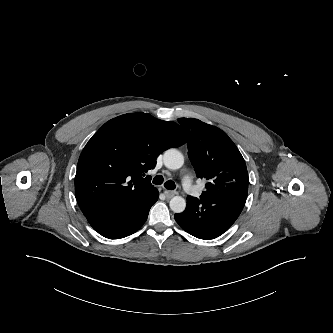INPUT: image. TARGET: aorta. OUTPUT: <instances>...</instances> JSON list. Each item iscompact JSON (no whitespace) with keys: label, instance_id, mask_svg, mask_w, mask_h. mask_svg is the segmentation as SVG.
Listing matches in <instances>:
<instances>
[{"label":"aorta","instance_id":"obj_1","mask_svg":"<svg viewBox=\"0 0 333 333\" xmlns=\"http://www.w3.org/2000/svg\"><path fill=\"white\" fill-rule=\"evenodd\" d=\"M163 160L164 165L172 170L179 169L184 164V157L182 153L176 149H169L165 151ZM169 205L174 213H181L186 208V201L181 196H175L170 200Z\"/></svg>","mask_w":333,"mask_h":333}]
</instances>
